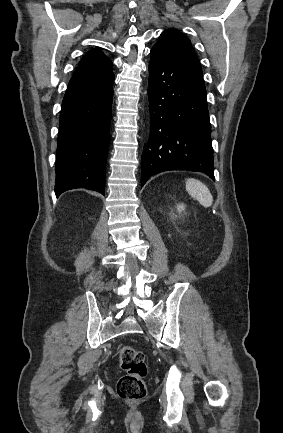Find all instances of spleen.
<instances>
[{
    "instance_id": "spleen-1",
    "label": "spleen",
    "mask_w": 283,
    "mask_h": 433,
    "mask_svg": "<svg viewBox=\"0 0 283 433\" xmlns=\"http://www.w3.org/2000/svg\"><path fill=\"white\" fill-rule=\"evenodd\" d=\"M185 186L190 196L196 198V200H198L202 206H211L213 202V196L208 186L203 184L201 180H196V178H186Z\"/></svg>"
}]
</instances>
